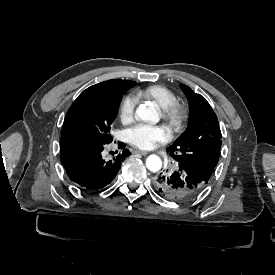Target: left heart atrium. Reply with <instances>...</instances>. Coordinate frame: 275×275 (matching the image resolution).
<instances>
[{
  "instance_id": "left-heart-atrium-1",
  "label": "left heart atrium",
  "mask_w": 275,
  "mask_h": 275,
  "mask_svg": "<svg viewBox=\"0 0 275 275\" xmlns=\"http://www.w3.org/2000/svg\"><path fill=\"white\" fill-rule=\"evenodd\" d=\"M172 137V132L165 125H150L140 123L126 130L127 141L135 148L151 150L167 143Z\"/></svg>"
}]
</instances>
